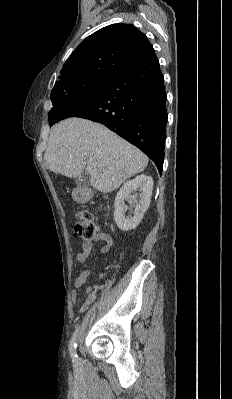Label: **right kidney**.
I'll list each match as a JSON object with an SVG mask.
<instances>
[{
    "label": "right kidney",
    "mask_w": 232,
    "mask_h": 399,
    "mask_svg": "<svg viewBox=\"0 0 232 399\" xmlns=\"http://www.w3.org/2000/svg\"><path fill=\"white\" fill-rule=\"evenodd\" d=\"M153 186V178L145 176V174L136 176L134 180H129L122 186L114 201V219L119 229L128 231V229H134L136 225H139L150 205ZM124 200H129V203L134 205V215H125L128 207L125 205Z\"/></svg>",
    "instance_id": "right-kidney-1"
}]
</instances>
